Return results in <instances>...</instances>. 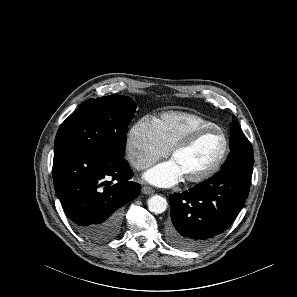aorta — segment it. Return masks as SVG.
I'll list each match as a JSON object with an SVG mask.
<instances>
[{
    "label": "aorta",
    "instance_id": "aorta-1",
    "mask_svg": "<svg viewBox=\"0 0 297 297\" xmlns=\"http://www.w3.org/2000/svg\"><path fill=\"white\" fill-rule=\"evenodd\" d=\"M147 203L149 210L155 214H161L167 208L166 199L160 195L150 197Z\"/></svg>",
    "mask_w": 297,
    "mask_h": 297
}]
</instances>
